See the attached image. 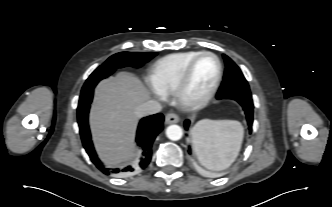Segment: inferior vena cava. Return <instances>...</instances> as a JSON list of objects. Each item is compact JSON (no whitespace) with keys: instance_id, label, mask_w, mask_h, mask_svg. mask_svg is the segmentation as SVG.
Segmentation results:
<instances>
[{"instance_id":"1","label":"inferior vena cava","mask_w":332,"mask_h":207,"mask_svg":"<svg viewBox=\"0 0 332 207\" xmlns=\"http://www.w3.org/2000/svg\"><path fill=\"white\" fill-rule=\"evenodd\" d=\"M162 110V106L159 102L150 100L141 105H139L136 110L135 114L138 117L152 115L160 112Z\"/></svg>"}]
</instances>
